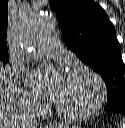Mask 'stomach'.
Returning a JSON list of instances; mask_svg holds the SVG:
<instances>
[{
    "instance_id": "0dacf381",
    "label": "stomach",
    "mask_w": 125,
    "mask_h": 128,
    "mask_svg": "<svg viewBox=\"0 0 125 128\" xmlns=\"http://www.w3.org/2000/svg\"><path fill=\"white\" fill-rule=\"evenodd\" d=\"M73 128H81V127H73Z\"/></svg>"
}]
</instances>
